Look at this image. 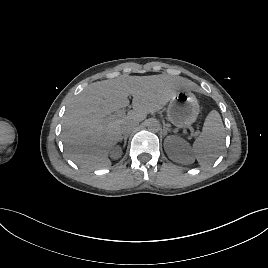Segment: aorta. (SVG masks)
I'll list each match as a JSON object with an SVG mask.
<instances>
[{
	"label": "aorta",
	"mask_w": 268,
	"mask_h": 268,
	"mask_svg": "<svg viewBox=\"0 0 268 268\" xmlns=\"http://www.w3.org/2000/svg\"><path fill=\"white\" fill-rule=\"evenodd\" d=\"M146 126L150 132H154V133L159 132L161 129L160 122L155 118L148 119L146 122Z\"/></svg>",
	"instance_id": "aorta-1"
}]
</instances>
